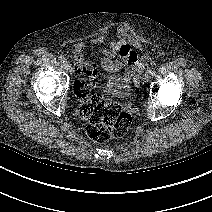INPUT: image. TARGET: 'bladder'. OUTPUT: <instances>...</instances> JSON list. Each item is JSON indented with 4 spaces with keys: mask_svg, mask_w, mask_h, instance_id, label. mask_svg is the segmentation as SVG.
<instances>
[{
    "mask_svg": "<svg viewBox=\"0 0 212 212\" xmlns=\"http://www.w3.org/2000/svg\"><path fill=\"white\" fill-rule=\"evenodd\" d=\"M101 91L109 97H115L122 100H129L133 94L131 86L123 82L119 76L115 74L106 75Z\"/></svg>",
    "mask_w": 212,
    "mask_h": 212,
    "instance_id": "bladder-1",
    "label": "bladder"
}]
</instances>
